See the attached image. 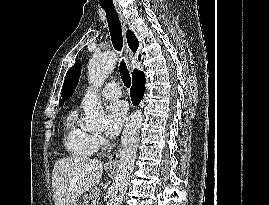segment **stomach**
<instances>
[{
    "mask_svg": "<svg viewBox=\"0 0 269 205\" xmlns=\"http://www.w3.org/2000/svg\"><path fill=\"white\" fill-rule=\"evenodd\" d=\"M76 205H86V203L82 202V203H77Z\"/></svg>",
    "mask_w": 269,
    "mask_h": 205,
    "instance_id": "1",
    "label": "stomach"
}]
</instances>
